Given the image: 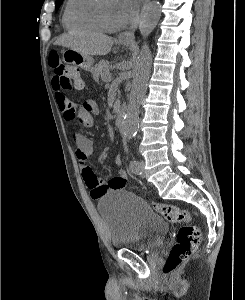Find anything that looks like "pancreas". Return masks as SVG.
Returning a JSON list of instances; mask_svg holds the SVG:
<instances>
[{"label":"pancreas","mask_w":245,"mask_h":300,"mask_svg":"<svg viewBox=\"0 0 245 300\" xmlns=\"http://www.w3.org/2000/svg\"><path fill=\"white\" fill-rule=\"evenodd\" d=\"M92 75L95 81H99L101 79L104 82L110 81V66L109 63L105 60L100 61L92 68Z\"/></svg>","instance_id":"1"}]
</instances>
